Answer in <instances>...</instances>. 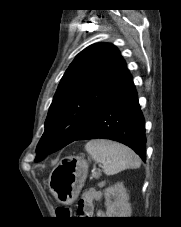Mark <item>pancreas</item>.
I'll use <instances>...</instances> for the list:
<instances>
[{"instance_id": "obj_1", "label": "pancreas", "mask_w": 181, "mask_h": 227, "mask_svg": "<svg viewBox=\"0 0 181 227\" xmlns=\"http://www.w3.org/2000/svg\"><path fill=\"white\" fill-rule=\"evenodd\" d=\"M96 178L98 177V174H95L94 175ZM99 186H102V184L100 183V184H98Z\"/></svg>"}]
</instances>
